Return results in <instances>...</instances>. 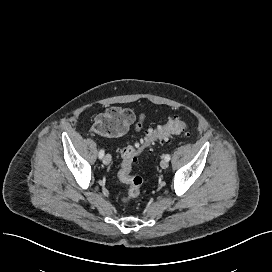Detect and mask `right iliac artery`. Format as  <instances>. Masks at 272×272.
Here are the masks:
<instances>
[{
  "instance_id": "1",
  "label": "right iliac artery",
  "mask_w": 272,
  "mask_h": 272,
  "mask_svg": "<svg viewBox=\"0 0 272 272\" xmlns=\"http://www.w3.org/2000/svg\"><path fill=\"white\" fill-rule=\"evenodd\" d=\"M99 158L100 159H102L103 158V156H104V150L103 149H101L100 151H99Z\"/></svg>"
}]
</instances>
